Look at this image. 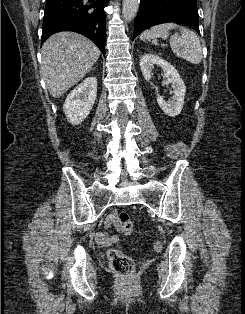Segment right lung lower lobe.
<instances>
[{
  "label": "right lung lower lobe",
  "instance_id": "right-lung-lower-lobe-1",
  "mask_svg": "<svg viewBox=\"0 0 245 314\" xmlns=\"http://www.w3.org/2000/svg\"><path fill=\"white\" fill-rule=\"evenodd\" d=\"M109 0H47L41 44L59 31H75L91 39L105 55Z\"/></svg>",
  "mask_w": 245,
  "mask_h": 314
}]
</instances>
